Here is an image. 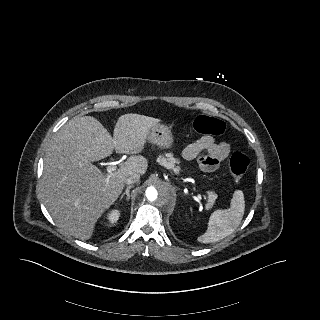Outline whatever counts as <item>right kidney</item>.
Masks as SVG:
<instances>
[{
	"mask_svg": "<svg viewBox=\"0 0 320 320\" xmlns=\"http://www.w3.org/2000/svg\"><path fill=\"white\" fill-rule=\"evenodd\" d=\"M120 213L118 210H112L108 215H107V219L108 221L113 224L115 222H117V220L119 219Z\"/></svg>",
	"mask_w": 320,
	"mask_h": 320,
	"instance_id": "1",
	"label": "right kidney"
}]
</instances>
